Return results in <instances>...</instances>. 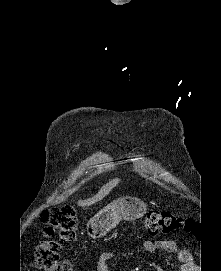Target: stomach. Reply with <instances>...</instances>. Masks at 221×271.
Returning a JSON list of instances; mask_svg holds the SVG:
<instances>
[{
  "instance_id": "stomach-1",
  "label": "stomach",
  "mask_w": 221,
  "mask_h": 271,
  "mask_svg": "<svg viewBox=\"0 0 221 271\" xmlns=\"http://www.w3.org/2000/svg\"><path fill=\"white\" fill-rule=\"evenodd\" d=\"M138 197H120L112 201L91 217L87 223V233L93 239L104 237L121 219H137L142 217L147 206L146 202H138Z\"/></svg>"
}]
</instances>
